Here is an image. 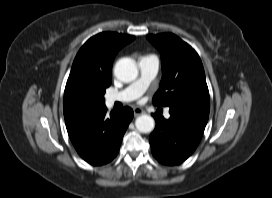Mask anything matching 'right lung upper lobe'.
Returning a JSON list of instances; mask_svg holds the SVG:
<instances>
[{
  "label": "right lung upper lobe",
  "mask_w": 272,
  "mask_h": 198,
  "mask_svg": "<svg viewBox=\"0 0 272 198\" xmlns=\"http://www.w3.org/2000/svg\"><path fill=\"white\" fill-rule=\"evenodd\" d=\"M134 36L103 32L91 37L73 62L64 92V117L71 126L105 106L115 55Z\"/></svg>",
  "instance_id": "right-lung-upper-lobe-1"
}]
</instances>
